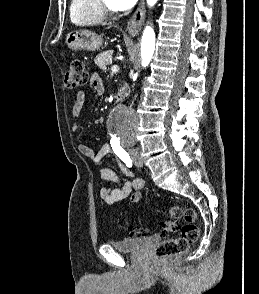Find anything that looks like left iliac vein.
<instances>
[{
    "instance_id": "1",
    "label": "left iliac vein",
    "mask_w": 259,
    "mask_h": 294,
    "mask_svg": "<svg viewBox=\"0 0 259 294\" xmlns=\"http://www.w3.org/2000/svg\"><path fill=\"white\" fill-rule=\"evenodd\" d=\"M130 155H131V158H132L134 164H135L137 167H142V166H143V162H142V160H141V158H140V155H139L138 151H136V150H132V151L130 152Z\"/></svg>"
}]
</instances>
